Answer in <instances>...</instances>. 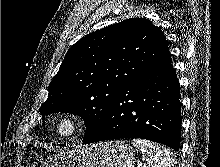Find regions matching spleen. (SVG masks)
Wrapping results in <instances>:
<instances>
[{
  "label": "spleen",
  "instance_id": "spleen-1",
  "mask_svg": "<svg viewBox=\"0 0 220 167\" xmlns=\"http://www.w3.org/2000/svg\"><path fill=\"white\" fill-rule=\"evenodd\" d=\"M133 145L142 153L148 167H174L175 159L170 150L145 139H133Z\"/></svg>",
  "mask_w": 220,
  "mask_h": 167
}]
</instances>
